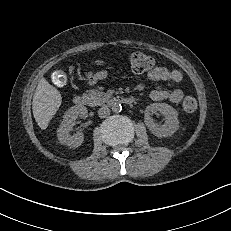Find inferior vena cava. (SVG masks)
I'll list each match as a JSON object with an SVG mask.
<instances>
[{"instance_id": "obj_1", "label": "inferior vena cava", "mask_w": 231, "mask_h": 231, "mask_svg": "<svg viewBox=\"0 0 231 231\" xmlns=\"http://www.w3.org/2000/svg\"><path fill=\"white\" fill-rule=\"evenodd\" d=\"M110 114V109L107 106H103L98 110V115L101 118H105Z\"/></svg>"}]
</instances>
